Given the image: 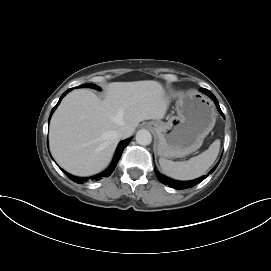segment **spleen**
<instances>
[{
  "mask_svg": "<svg viewBox=\"0 0 271 271\" xmlns=\"http://www.w3.org/2000/svg\"><path fill=\"white\" fill-rule=\"evenodd\" d=\"M220 150V140H215L201 154L185 162H173L165 158L159 159V164L165 175L176 180H192L206 173L216 160Z\"/></svg>",
  "mask_w": 271,
  "mask_h": 271,
  "instance_id": "obj_1",
  "label": "spleen"
}]
</instances>
